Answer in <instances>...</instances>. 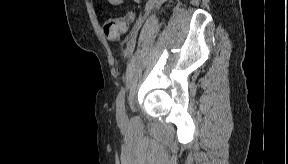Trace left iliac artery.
<instances>
[{
	"label": "left iliac artery",
	"mask_w": 288,
	"mask_h": 164,
	"mask_svg": "<svg viewBox=\"0 0 288 164\" xmlns=\"http://www.w3.org/2000/svg\"><path fill=\"white\" fill-rule=\"evenodd\" d=\"M124 103H125V88H121L116 98L117 108L122 111L125 110Z\"/></svg>",
	"instance_id": "obj_1"
}]
</instances>
